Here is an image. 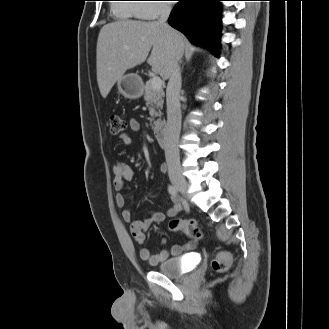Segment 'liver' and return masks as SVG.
Wrapping results in <instances>:
<instances>
[{
	"instance_id": "liver-1",
	"label": "liver",
	"mask_w": 329,
	"mask_h": 329,
	"mask_svg": "<svg viewBox=\"0 0 329 329\" xmlns=\"http://www.w3.org/2000/svg\"><path fill=\"white\" fill-rule=\"evenodd\" d=\"M186 39L175 29L157 22L122 20L104 25L96 51L97 82L106 98L124 73L146 61L163 79L171 75L173 65L184 53Z\"/></svg>"
}]
</instances>
